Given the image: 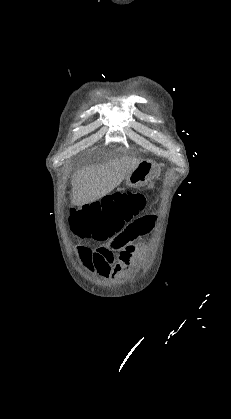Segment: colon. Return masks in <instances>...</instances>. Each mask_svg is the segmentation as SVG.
<instances>
[{
	"instance_id": "1",
	"label": "colon",
	"mask_w": 231,
	"mask_h": 419,
	"mask_svg": "<svg viewBox=\"0 0 231 419\" xmlns=\"http://www.w3.org/2000/svg\"><path fill=\"white\" fill-rule=\"evenodd\" d=\"M145 197L131 192H116L74 213V224L89 229L94 239L105 241L120 233L143 209Z\"/></svg>"
}]
</instances>
